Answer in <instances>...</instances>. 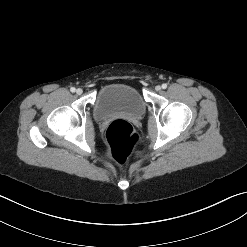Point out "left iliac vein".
Instances as JSON below:
<instances>
[{
  "label": "left iliac vein",
  "instance_id": "left-iliac-vein-1",
  "mask_svg": "<svg viewBox=\"0 0 247 247\" xmlns=\"http://www.w3.org/2000/svg\"><path fill=\"white\" fill-rule=\"evenodd\" d=\"M155 90H156V91H160V90H161V86H159V85L156 86V87H155Z\"/></svg>",
  "mask_w": 247,
  "mask_h": 247
}]
</instances>
